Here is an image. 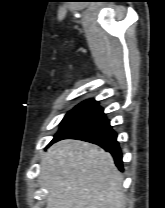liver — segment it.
I'll list each match as a JSON object with an SVG mask.
<instances>
[{"label": "liver", "mask_w": 165, "mask_h": 208, "mask_svg": "<svg viewBox=\"0 0 165 208\" xmlns=\"http://www.w3.org/2000/svg\"><path fill=\"white\" fill-rule=\"evenodd\" d=\"M46 208H123V177L113 157L97 145L62 140L41 158Z\"/></svg>", "instance_id": "obj_1"}]
</instances>
